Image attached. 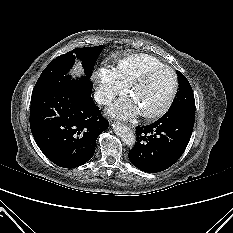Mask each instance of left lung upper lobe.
<instances>
[{
	"instance_id": "5c2ea615",
	"label": "left lung upper lobe",
	"mask_w": 233,
	"mask_h": 233,
	"mask_svg": "<svg viewBox=\"0 0 233 233\" xmlns=\"http://www.w3.org/2000/svg\"><path fill=\"white\" fill-rule=\"evenodd\" d=\"M177 76L179 80V91L173 105L166 114L195 118V99L192 88L182 73L177 71Z\"/></svg>"
}]
</instances>
